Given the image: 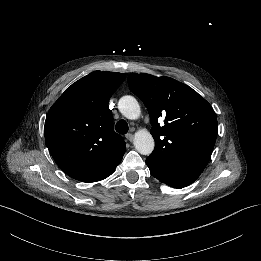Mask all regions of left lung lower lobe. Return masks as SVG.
<instances>
[{
    "instance_id": "left-lung-lower-lobe-1",
    "label": "left lung lower lobe",
    "mask_w": 261,
    "mask_h": 261,
    "mask_svg": "<svg viewBox=\"0 0 261 261\" xmlns=\"http://www.w3.org/2000/svg\"><path fill=\"white\" fill-rule=\"evenodd\" d=\"M146 164L153 177L173 188L188 186L202 173L197 170L174 167L150 156L146 159Z\"/></svg>"
}]
</instances>
